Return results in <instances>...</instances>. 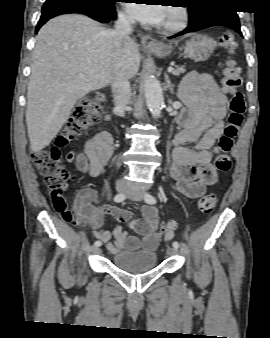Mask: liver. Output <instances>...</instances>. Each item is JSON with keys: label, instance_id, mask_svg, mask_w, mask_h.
Masks as SVG:
<instances>
[{"label": "liver", "instance_id": "obj_1", "mask_svg": "<svg viewBox=\"0 0 270 338\" xmlns=\"http://www.w3.org/2000/svg\"><path fill=\"white\" fill-rule=\"evenodd\" d=\"M111 32L89 17L76 14L55 17L38 32L26 109L33 152L50 144L79 99L112 83L117 64L127 79L137 74V43L130 38L117 51Z\"/></svg>", "mask_w": 270, "mask_h": 338}]
</instances>
